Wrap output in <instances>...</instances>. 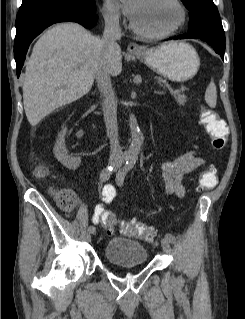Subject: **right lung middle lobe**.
I'll use <instances>...</instances> for the list:
<instances>
[{
  "label": "right lung middle lobe",
  "mask_w": 245,
  "mask_h": 319,
  "mask_svg": "<svg viewBox=\"0 0 245 319\" xmlns=\"http://www.w3.org/2000/svg\"><path fill=\"white\" fill-rule=\"evenodd\" d=\"M95 0H23L19 11L32 10L50 5H68L76 8L91 7Z\"/></svg>",
  "instance_id": "obj_1"
}]
</instances>
